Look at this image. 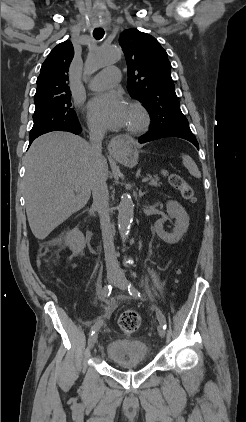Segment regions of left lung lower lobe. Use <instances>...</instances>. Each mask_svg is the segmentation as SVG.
<instances>
[{"label":"left lung lower lobe","mask_w":246,"mask_h":422,"mask_svg":"<svg viewBox=\"0 0 246 422\" xmlns=\"http://www.w3.org/2000/svg\"><path fill=\"white\" fill-rule=\"evenodd\" d=\"M165 137H178L188 140L189 142L194 144L197 149H199L198 142L194 134L191 132L190 128H164L158 130H150L146 134L142 135L138 140L139 143H146Z\"/></svg>","instance_id":"0a47b994"}]
</instances>
